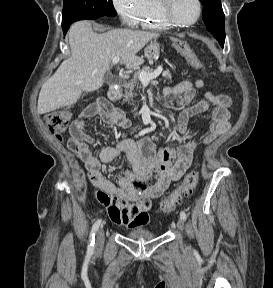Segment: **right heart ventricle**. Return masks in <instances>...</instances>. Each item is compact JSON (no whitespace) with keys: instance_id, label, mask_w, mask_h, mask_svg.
Masks as SVG:
<instances>
[{"instance_id":"1","label":"right heart ventricle","mask_w":273,"mask_h":288,"mask_svg":"<svg viewBox=\"0 0 273 288\" xmlns=\"http://www.w3.org/2000/svg\"><path fill=\"white\" fill-rule=\"evenodd\" d=\"M137 25L144 29H166L170 27L161 16L157 0H144Z\"/></svg>"}]
</instances>
